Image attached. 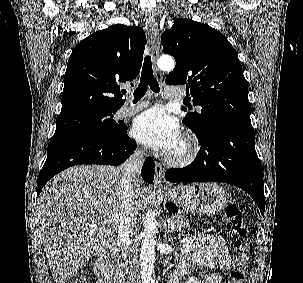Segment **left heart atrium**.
<instances>
[{
	"mask_svg": "<svg viewBox=\"0 0 303 283\" xmlns=\"http://www.w3.org/2000/svg\"><path fill=\"white\" fill-rule=\"evenodd\" d=\"M132 133L143 144L166 152L174 151L181 141L178 123L161 106L141 113Z\"/></svg>",
	"mask_w": 303,
	"mask_h": 283,
	"instance_id": "1",
	"label": "left heart atrium"
}]
</instances>
